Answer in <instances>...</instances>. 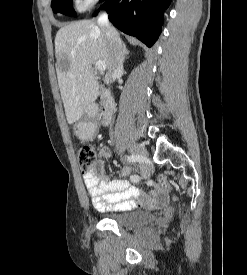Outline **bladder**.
<instances>
[{"label":"bladder","mask_w":247,"mask_h":275,"mask_svg":"<svg viewBox=\"0 0 247 275\" xmlns=\"http://www.w3.org/2000/svg\"><path fill=\"white\" fill-rule=\"evenodd\" d=\"M111 220L120 226L149 225L154 222L155 214L146 210H133L117 214Z\"/></svg>","instance_id":"1"}]
</instances>
